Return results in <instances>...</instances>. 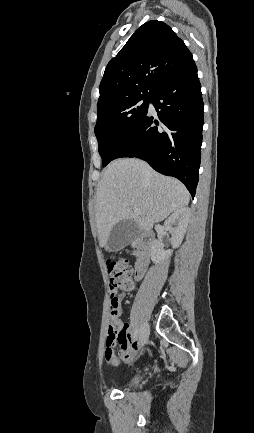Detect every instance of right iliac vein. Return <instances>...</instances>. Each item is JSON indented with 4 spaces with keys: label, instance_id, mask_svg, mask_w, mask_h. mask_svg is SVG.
I'll return each instance as SVG.
<instances>
[{
    "label": "right iliac vein",
    "instance_id": "63e3f726",
    "mask_svg": "<svg viewBox=\"0 0 254 433\" xmlns=\"http://www.w3.org/2000/svg\"><path fill=\"white\" fill-rule=\"evenodd\" d=\"M148 336H149V326L148 324H144L139 334V343L141 346H143L147 342Z\"/></svg>",
    "mask_w": 254,
    "mask_h": 433
}]
</instances>
